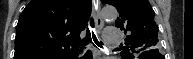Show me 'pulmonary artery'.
I'll return each mask as SVG.
<instances>
[{"mask_svg": "<svg viewBox=\"0 0 193 59\" xmlns=\"http://www.w3.org/2000/svg\"><path fill=\"white\" fill-rule=\"evenodd\" d=\"M105 41L107 43H115L117 41V36L113 33L112 29L105 32Z\"/></svg>", "mask_w": 193, "mask_h": 59, "instance_id": "e3ab8cb5", "label": "pulmonary artery"}]
</instances>
